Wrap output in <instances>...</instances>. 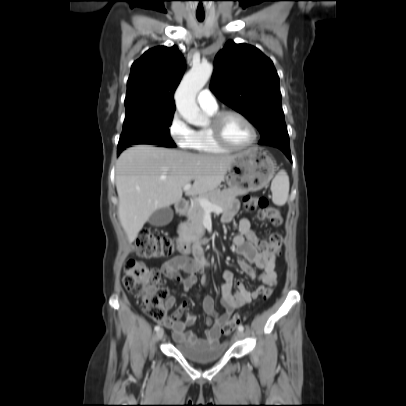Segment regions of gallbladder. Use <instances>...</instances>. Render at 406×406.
<instances>
[{
	"mask_svg": "<svg viewBox=\"0 0 406 406\" xmlns=\"http://www.w3.org/2000/svg\"><path fill=\"white\" fill-rule=\"evenodd\" d=\"M172 218L173 210L170 207H163L156 210L148 222L153 226H165L171 222Z\"/></svg>",
	"mask_w": 406,
	"mask_h": 406,
	"instance_id": "bac80fb5",
	"label": "gallbladder"
}]
</instances>
